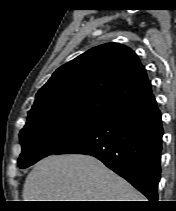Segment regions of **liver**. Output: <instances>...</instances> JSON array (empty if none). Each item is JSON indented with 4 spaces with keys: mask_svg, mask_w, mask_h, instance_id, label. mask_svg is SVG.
I'll return each instance as SVG.
<instances>
[{
    "mask_svg": "<svg viewBox=\"0 0 176 211\" xmlns=\"http://www.w3.org/2000/svg\"><path fill=\"white\" fill-rule=\"evenodd\" d=\"M23 201H144V196L96 158L51 155L28 174Z\"/></svg>",
    "mask_w": 176,
    "mask_h": 211,
    "instance_id": "1",
    "label": "liver"
}]
</instances>
